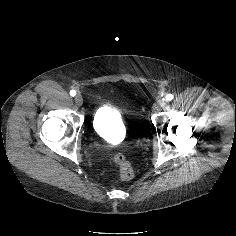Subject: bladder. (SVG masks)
<instances>
[{
	"instance_id": "bladder-1",
	"label": "bladder",
	"mask_w": 236,
	"mask_h": 236,
	"mask_svg": "<svg viewBox=\"0 0 236 236\" xmlns=\"http://www.w3.org/2000/svg\"><path fill=\"white\" fill-rule=\"evenodd\" d=\"M93 129L103 139H115L122 135L125 126L119 111L109 104H104L94 113Z\"/></svg>"
}]
</instances>
